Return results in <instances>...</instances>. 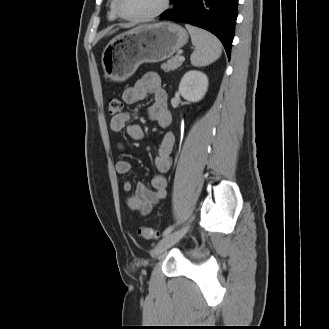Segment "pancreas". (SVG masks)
<instances>
[{"instance_id":"pancreas-1","label":"pancreas","mask_w":329,"mask_h":329,"mask_svg":"<svg viewBox=\"0 0 329 329\" xmlns=\"http://www.w3.org/2000/svg\"><path fill=\"white\" fill-rule=\"evenodd\" d=\"M181 65H182V62L179 61V57H173V58L169 59L166 63H163L161 65V68L166 72H170V71L177 69Z\"/></svg>"}]
</instances>
